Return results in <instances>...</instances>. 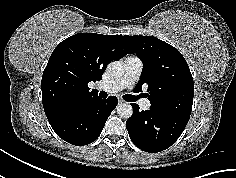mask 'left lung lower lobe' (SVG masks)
Wrapping results in <instances>:
<instances>
[{
  "label": "left lung lower lobe",
  "instance_id": "1",
  "mask_svg": "<svg viewBox=\"0 0 236 178\" xmlns=\"http://www.w3.org/2000/svg\"><path fill=\"white\" fill-rule=\"evenodd\" d=\"M131 105L133 114L127 120L126 128L132 142L146 152H160L170 147L189 121L188 116L154 106L150 110L139 111L137 104Z\"/></svg>",
  "mask_w": 236,
  "mask_h": 178
}]
</instances>
